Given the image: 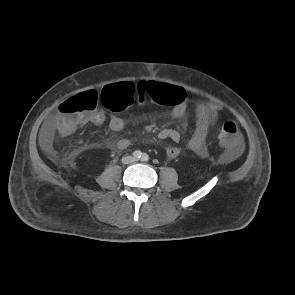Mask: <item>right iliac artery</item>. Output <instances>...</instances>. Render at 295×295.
Returning <instances> with one entry per match:
<instances>
[{
  "instance_id": "82829eb1",
  "label": "right iliac artery",
  "mask_w": 295,
  "mask_h": 295,
  "mask_svg": "<svg viewBox=\"0 0 295 295\" xmlns=\"http://www.w3.org/2000/svg\"><path fill=\"white\" fill-rule=\"evenodd\" d=\"M133 155L136 159H139V158H141L142 153H141V151L136 150V151H134Z\"/></svg>"
}]
</instances>
